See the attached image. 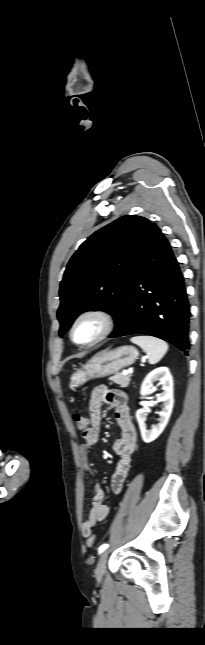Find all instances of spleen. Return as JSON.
<instances>
[{"label":"spleen","instance_id":"spleen-1","mask_svg":"<svg viewBox=\"0 0 205 645\" xmlns=\"http://www.w3.org/2000/svg\"><path fill=\"white\" fill-rule=\"evenodd\" d=\"M131 342L146 352L150 364L159 362L168 350V344L165 341L153 336H135L131 338Z\"/></svg>","mask_w":205,"mask_h":645}]
</instances>
